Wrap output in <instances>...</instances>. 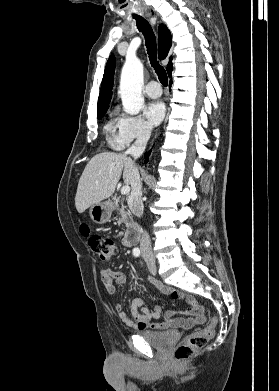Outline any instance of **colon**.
Here are the masks:
<instances>
[{"label": "colon", "instance_id": "obj_1", "mask_svg": "<svg viewBox=\"0 0 279 391\" xmlns=\"http://www.w3.org/2000/svg\"><path fill=\"white\" fill-rule=\"evenodd\" d=\"M81 232L88 238L90 248L102 262H109L117 253L118 246L113 239L103 237L99 234H91L90 229L87 226H83ZM215 324L216 318L212 317L209 325L188 336L175 349V359L178 362H185L203 348L212 337Z\"/></svg>", "mask_w": 279, "mask_h": 391}]
</instances>
